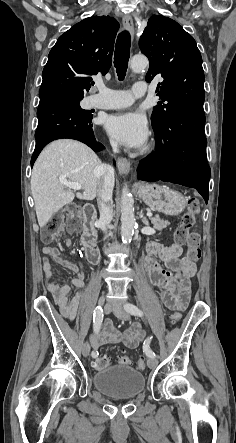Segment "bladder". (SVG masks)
Instances as JSON below:
<instances>
[{"mask_svg": "<svg viewBox=\"0 0 236 443\" xmlns=\"http://www.w3.org/2000/svg\"><path fill=\"white\" fill-rule=\"evenodd\" d=\"M94 387L107 397L130 399L145 388V376L129 366L99 369L93 374Z\"/></svg>", "mask_w": 236, "mask_h": 443, "instance_id": "31cf9c89", "label": "bladder"}]
</instances>
